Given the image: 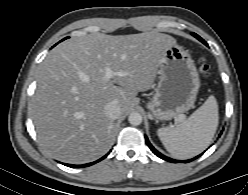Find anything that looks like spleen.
<instances>
[{"label": "spleen", "instance_id": "obj_1", "mask_svg": "<svg viewBox=\"0 0 248 195\" xmlns=\"http://www.w3.org/2000/svg\"><path fill=\"white\" fill-rule=\"evenodd\" d=\"M218 104L209 96L191 116L176 126L159 128L157 135L175 158L188 159L203 152L211 143L218 127Z\"/></svg>", "mask_w": 248, "mask_h": 195}]
</instances>
